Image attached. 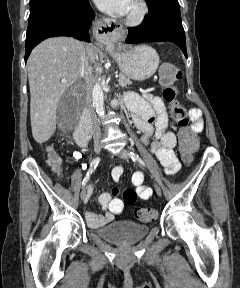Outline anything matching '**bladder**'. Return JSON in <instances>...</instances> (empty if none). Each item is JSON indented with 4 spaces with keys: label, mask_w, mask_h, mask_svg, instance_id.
Here are the masks:
<instances>
[{
    "label": "bladder",
    "mask_w": 240,
    "mask_h": 288,
    "mask_svg": "<svg viewBox=\"0 0 240 288\" xmlns=\"http://www.w3.org/2000/svg\"><path fill=\"white\" fill-rule=\"evenodd\" d=\"M149 232V227L130 221H113L96 230L105 240L115 243H130L141 240Z\"/></svg>",
    "instance_id": "obj_1"
}]
</instances>
